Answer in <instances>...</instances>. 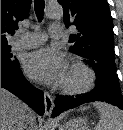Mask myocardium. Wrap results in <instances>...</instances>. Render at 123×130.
<instances>
[{
	"label": "myocardium",
	"instance_id": "myocardium-1",
	"mask_svg": "<svg viewBox=\"0 0 123 130\" xmlns=\"http://www.w3.org/2000/svg\"><path fill=\"white\" fill-rule=\"evenodd\" d=\"M68 69L70 70H78L84 74V80L78 84H67V83H59V89L69 95H78V94H83L88 91H90L93 86L95 85V72L93 69L87 65L86 63L75 60L73 61Z\"/></svg>",
	"mask_w": 123,
	"mask_h": 130
}]
</instances>
